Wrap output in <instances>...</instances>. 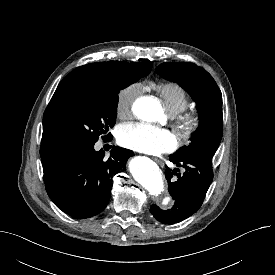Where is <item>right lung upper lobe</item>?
I'll return each instance as SVG.
<instances>
[{
	"label": "right lung upper lobe",
	"instance_id": "right-lung-upper-lobe-1",
	"mask_svg": "<svg viewBox=\"0 0 275 275\" xmlns=\"http://www.w3.org/2000/svg\"><path fill=\"white\" fill-rule=\"evenodd\" d=\"M152 62H98L77 67L70 72L58 85L57 90L67 87L84 86L92 83L112 84L123 81L128 70L150 73ZM147 74V75H148ZM62 148L56 144L52 137L43 130L40 156L42 161L59 152Z\"/></svg>",
	"mask_w": 275,
	"mask_h": 275
}]
</instances>
